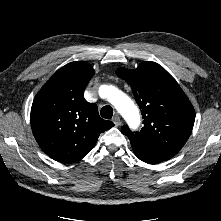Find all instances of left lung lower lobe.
<instances>
[{
  "instance_id": "left-lung-lower-lobe-1",
  "label": "left lung lower lobe",
  "mask_w": 221,
  "mask_h": 221,
  "mask_svg": "<svg viewBox=\"0 0 221 221\" xmlns=\"http://www.w3.org/2000/svg\"><path fill=\"white\" fill-rule=\"evenodd\" d=\"M132 149L134 154L142 161L149 163V164H158L160 162L166 161L169 158L154 153L153 151L149 150L148 148L144 147L142 144L130 140Z\"/></svg>"
}]
</instances>
